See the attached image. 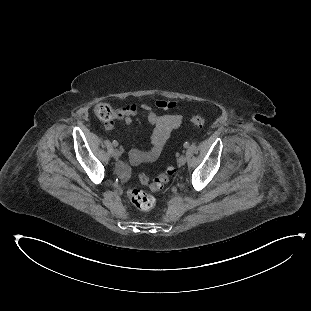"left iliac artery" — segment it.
Masks as SVG:
<instances>
[{"label": "left iliac artery", "instance_id": "1", "mask_svg": "<svg viewBox=\"0 0 311 311\" xmlns=\"http://www.w3.org/2000/svg\"><path fill=\"white\" fill-rule=\"evenodd\" d=\"M184 147H185V148H188V147H189V143H188V142H185V143H184Z\"/></svg>", "mask_w": 311, "mask_h": 311}]
</instances>
